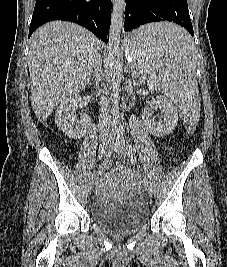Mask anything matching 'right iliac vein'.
<instances>
[{
	"instance_id": "obj_1",
	"label": "right iliac vein",
	"mask_w": 227,
	"mask_h": 267,
	"mask_svg": "<svg viewBox=\"0 0 227 267\" xmlns=\"http://www.w3.org/2000/svg\"><path fill=\"white\" fill-rule=\"evenodd\" d=\"M109 147H110V141L108 140L107 137L102 136V137L100 138V143H99V151H100V155H101V156L105 155L106 152L108 151ZM94 186H95V180L92 179V180L90 181V185H89V188H88V192H89V194L92 192Z\"/></svg>"
}]
</instances>
